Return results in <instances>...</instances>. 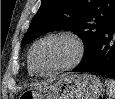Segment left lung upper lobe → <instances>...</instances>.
<instances>
[{"mask_svg":"<svg viewBox=\"0 0 115 99\" xmlns=\"http://www.w3.org/2000/svg\"><path fill=\"white\" fill-rule=\"evenodd\" d=\"M114 18L115 0H42L21 46L46 32L70 30L83 40L84 59L98 45Z\"/></svg>","mask_w":115,"mask_h":99,"instance_id":"left-lung-upper-lobe-1","label":"left lung upper lobe"}]
</instances>
